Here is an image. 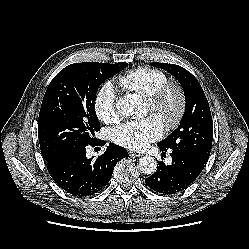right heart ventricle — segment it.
Masks as SVG:
<instances>
[{
	"instance_id": "e07e8e85",
	"label": "right heart ventricle",
	"mask_w": 249,
	"mask_h": 249,
	"mask_svg": "<svg viewBox=\"0 0 249 249\" xmlns=\"http://www.w3.org/2000/svg\"><path fill=\"white\" fill-rule=\"evenodd\" d=\"M168 82L166 73L151 67H138L118 79V85L130 92L147 96Z\"/></svg>"
}]
</instances>
